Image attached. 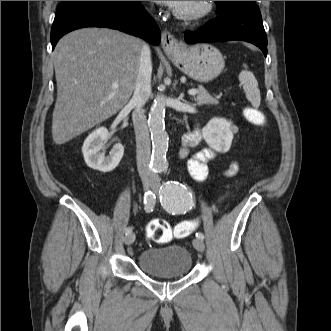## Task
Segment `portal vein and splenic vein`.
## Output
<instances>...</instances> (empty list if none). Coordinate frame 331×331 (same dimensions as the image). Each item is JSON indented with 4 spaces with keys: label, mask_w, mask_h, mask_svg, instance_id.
Segmentation results:
<instances>
[{
    "label": "portal vein and splenic vein",
    "mask_w": 331,
    "mask_h": 331,
    "mask_svg": "<svg viewBox=\"0 0 331 331\" xmlns=\"http://www.w3.org/2000/svg\"><path fill=\"white\" fill-rule=\"evenodd\" d=\"M112 88L113 89H117L118 88V84L117 83H114L113 85H112ZM198 93V91L196 90V89H191V90H189L188 91V94L189 95H196Z\"/></svg>",
    "instance_id": "portal-vein-and-splenic-vein-1"
}]
</instances>
